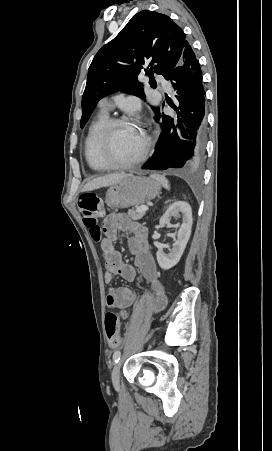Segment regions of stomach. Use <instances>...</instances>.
<instances>
[{
  "instance_id": "0dacf381",
  "label": "stomach",
  "mask_w": 272,
  "mask_h": 451,
  "mask_svg": "<svg viewBox=\"0 0 272 451\" xmlns=\"http://www.w3.org/2000/svg\"><path fill=\"white\" fill-rule=\"evenodd\" d=\"M160 192L158 182L144 176H125L123 180L109 186L106 192V204L109 208H129L141 206L153 200Z\"/></svg>"
}]
</instances>
